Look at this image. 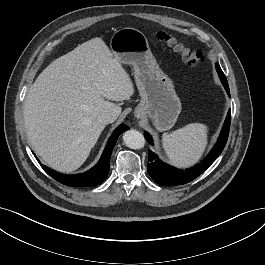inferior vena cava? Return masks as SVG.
<instances>
[{
	"label": "inferior vena cava",
	"instance_id": "1",
	"mask_svg": "<svg viewBox=\"0 0 265 265\" xmlns=\"http://www.w3.org/2000/svg\"><path fill=\"white\" fill-rule=\"evenodd\" d=\"M97 120L104 124L112 123L116 120V117L109 113V112H102L98 117Z\"/></svg>",
	"mask_w": 265,
	"mask_h": 265
}]
</instances>
